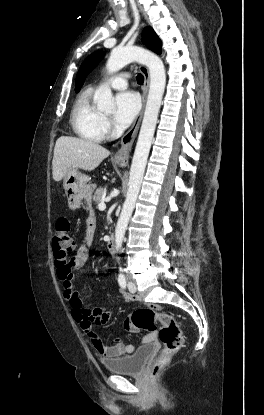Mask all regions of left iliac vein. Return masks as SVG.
I'll use <instances>...</instances> for the list:
<instances>
[{
	"label": "left iliac vein",
	"instance_id": "1",
	"mask_svg": "<svg viewBox=\"0 0 264 415\" xmlns=\"http://www.w3.org/2000/svg\"><path fill=\"white\" fill-rule=\"evenodd\" d=\"M128 289L131 293H135L137 291L136 285L133 282L128 283Z\"/></svg>",
	"mask_w": 264,
	"mask_h": 415
}]
</instances>
